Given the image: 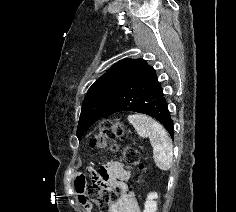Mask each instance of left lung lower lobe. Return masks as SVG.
<instances>
[{
  "label": "left lung lower lobe",
  "instance_id": "1",
  "mask_svg": "<svg viewBox=\"0 0 236 212\" xmlns=\"http://www.w3.org/2000/svg\"><path fill=\"white\" fill-rule=\"evenodd\" d=\"M122 111L149 115L162 123L173 139V121L156 72L145 60L138 65L104 113L105 118Z\"/></svg>",
  "mask_w": 236,
  "mask_h": 212
}]
</instances>
